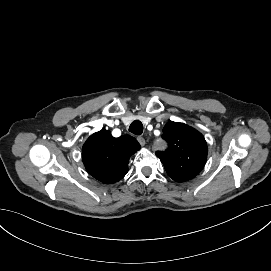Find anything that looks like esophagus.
Returning a JSON list of instances; mask_svg holds the SVG:
<instances>
[{
  "mask_svg": "<svg viewBox=\"0 0 271 271\" xmlns=\"http://www.w3.org/2000/svg\"><path fill=\"white\" fill-rule=\"evenodd\" d=\"M137 140L141 146H144L145 143L148 141V138L145 135H141L137 137Z\"/></svg>",
  "mask_w": 271,
  "mask_h": 271,
  "instance_id": "1",
  "label": "esophagus"
}]
</instances>
